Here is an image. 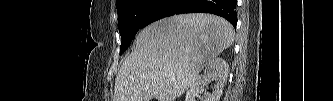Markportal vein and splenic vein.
<instances>
[{"mask_svg": "<svg viewBox=\"0 0 333 101\" xmlns=\"http://www.w3.org/2000/svg\"><path fill=\"white\" fill-rule=\"evenodd\" d=\"M168 76H169V77H173V75H172V74H169Z\"/></svg>", "mask_w": 333, "mask_h": 101, "instance_id": "portal-vein-and-splenic-vein-1", "label": "portal vein and splenic vein"}]
</instances>
